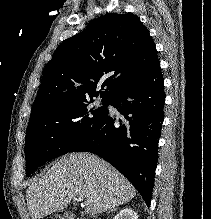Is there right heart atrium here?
Segmentation results:
<instances>
[{
  "mask_svg": "<svg viewBox=\"0 0 211 219\" xmlns=\"http://www.w3.org/2000/svg\"><path fill=\"white\" fill-rule=\"evenodd\" d=\"M72 132H73L72 126L70 124H64L59 129L58 135L60 139L64 141H68L72 137Z\"/></svg>",
  "mask_w": 211,
  "mask_h": 219,
  "instance_id": "obj_1",
  "label": "right heart atrium"
}]
</instances>
